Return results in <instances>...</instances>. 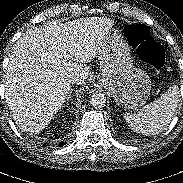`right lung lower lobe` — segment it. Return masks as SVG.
<instances>
[{
	"label": "right lung lower lobe",
	"mask_w": 183,
	"mask_h": 183,
	"mask_svg": "<svg viewBox=\"0 0 183 183\" xmlns=\"http://www.w3.org/2000/svg\"><path fill=\"white\" fill-rule=\"evenodd\" d=\"M65 143H66V142H61V143L59 144V146L62 147L63 145H65Z\"/></svg>",
	"instance_id": "1"
}]
</instances>
